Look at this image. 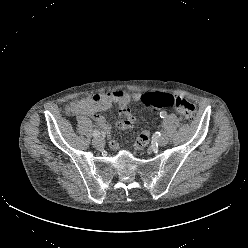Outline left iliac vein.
I'll use <instances>...</instances> for the list:
<instances>
[{
	"instance_id": "left-iliac-vein-1",
	"label": "left iliac vein",
	"mask_w": 248,
	"mask_h": 248,
	"mask_svg": "<svg viewBox=\"0 0 248 248\" xmlns=\"http://www.w3.org/2000/svg\"><path fill=\"white\" fill-rule=\"evenodd\" d=\"M168 137H167V135L166 134H162L159 138H158V140H157V142H158V144L160 145V146H165L167 143H168Z\"/></svg>"
}]
</instances>
